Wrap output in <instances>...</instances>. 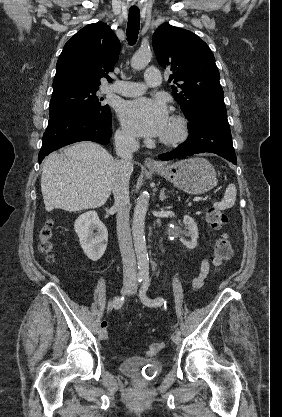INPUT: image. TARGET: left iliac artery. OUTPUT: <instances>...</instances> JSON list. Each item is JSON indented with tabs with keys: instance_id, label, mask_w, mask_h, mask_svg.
Segmentation results:
<instances>
[{
	"instance_id": "left-iliac-artery-1",
	"label": "left iliac artery",
	"mask_w": 282,
	"mask_h": 417,
	"mask_svg": "<svg viewBox=\"0 0 282 417\" xmlns=\"http://www.w3.org/2000/svg\"><path fill=\"white\" fill-rule=\"evenodd\" d=\"M149 286H150V279L148 277H146L142 280V286H141L140 292H139V296H140L141 301L147 306H151V307L161 306L163 304V298L158 297V298H155V299H150L149 297H147L146 292H147ZM176 334L181 335L180 330H177Z\"/></svg>"
}]
</instances>
